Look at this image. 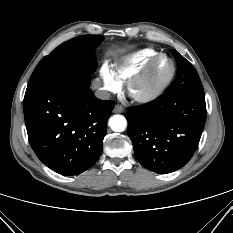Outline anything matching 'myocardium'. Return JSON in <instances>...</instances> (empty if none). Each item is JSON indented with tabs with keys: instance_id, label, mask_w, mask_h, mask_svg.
Masks as SVG:
<instances>
[{
	"instance_id": "1",
	"label": "myocardium",
	"mask_w": 233,
	"mask_h": 233,
	"mask_svg": "<svg viewBox=\"0 0 233 233\" xmlns=\"http://www.w3.org/2000/svg\"><path fill=\"white\" fill-rule=\"evenodd\" d=\"M163 58L168 59L171 64V70L169 74L162 81L155 84L146 91L140 93L137 92V88L148 81L157 63ZM175 72L176 66L173 59L166 54H159L146 66V68L141 73L135 75L128 81V94L134 101L138 103L151 102L155 100L157 97H159L164 92V90L170 85L174 78Z\"/></svg>"
}]
</instances>
